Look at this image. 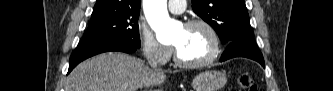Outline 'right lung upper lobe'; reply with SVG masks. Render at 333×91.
I'll use <instances>...</instances> for the list:
<instances>
[{
  "label": "right lung upper lobe",
  "instance_id": "obj_1",
  "mask_svg": "<svg viewBox=\"0 0 333 91\" xmlns=\"http://www.w3.org/2000/svg\"><path fill=\"white\" fill-rule=\"evenodd\" d=\"M141 0H97L92 16L101 17L130 11H140Z\"/></svg>",
  "mask_w": 333,
  "mask_h": 91
}]
</instances>
